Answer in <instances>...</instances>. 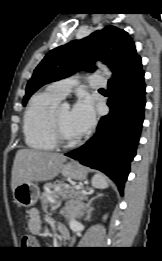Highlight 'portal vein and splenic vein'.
Here are the masks:
<instances>
[{
    "mask_svg": "<svg viewBox=\"0 0 162 261\" xmlns=\"http://www.w3.org/2000/svg\"><path fill=\"white\" fill-rule=\"evenodd\" d=\"M75 189L79 190V189H81V186L80 185H76ZM60 205H61V202H57L56 205L52 207V210L57 209Z\"/></svg>",
    "mask_w": 162,
    "mask_h": 261,
    "instance_id": "obj_1",
    "label": "portal vein and splenic vein"
}]
</instances>
